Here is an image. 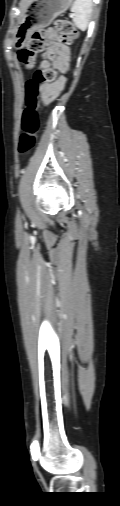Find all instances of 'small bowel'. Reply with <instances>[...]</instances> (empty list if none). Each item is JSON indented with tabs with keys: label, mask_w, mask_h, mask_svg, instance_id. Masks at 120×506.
<instances>
[{
	"label": "small bowel",
	"mask_w": 120,
	"mask_h": 506,
	"mask_svg": "<svg viewBox=\"0 0 120 506\" xmlns=\"http://www.w3.org/2000/svg\"><path fill=\"white\" fill-rule=\"evenodd\" d=\"M45 38L49 44H54L59 54L55 66L62 72L68 68L69 49L62 44H55L56 32L52 29L45 32ZM46 64V63H45ZM65 86V78L60 77L53 83H45L41 86L42 98L45 104L51 103L62 92Z\"/></svg>",
	"instance_id": "small-bowel-1"
}]
</instances>
